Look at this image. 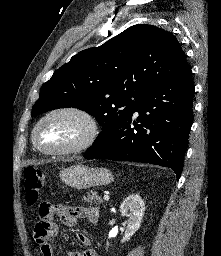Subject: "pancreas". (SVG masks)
Returning a JSON list of instances; mask_svg holds the SVG:
<instances>
[{
	"label": "pancreas",
	"mask_w": 221,
	"mask_h": 256,
	"mask_svg": "<svg viewBox=\"0 0 221 256\" xmlns=\"http://www.w3.org/2000/svg\"><path fill=\"white\" fill-rule=\"evenodd\" d=\"M85 202H87L90 206L93 204L100 205L102 203V198L97 194L96 191H90L87 193V196L84 197Z\"/></svg>",
	"instance_id": "pancreas-1"
}]
</instances>
